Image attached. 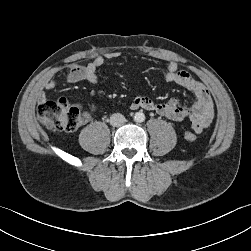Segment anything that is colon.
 I'll list each match as a JSON object with an SVG mask.
<instances>
[{"mask_svg":"<svg viewBox=\"0 0 251 251\" xmlns=\"http://www.w3.org/2000/svg\"><path fill=\"white\" fill-rule=\"evenodd\" d=\"M37 118L48 129L55 132H70L80 124V110L66 100L44 101L37 107ZM188 140H194V133H186Z\"/></svg>","mask_w":251,"mask_h":251,"instance_id":"obj_1","label":"colon"}]
</instances>
